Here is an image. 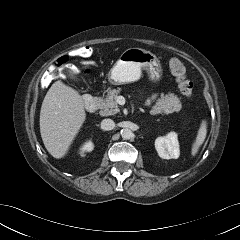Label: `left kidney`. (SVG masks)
<instances>
[{"mask_svg":"<svg viewBox=\"0 0 240 240\" xmlns=\"http://www.w3.org/2000/svg\"><path fill=\"white\" fill-rule=\"evenodd\" d=\"M155 148L158 155L163 159H177L180 154L177 134L170 132L166 136L155 140Z\"/></svg>","mask_w":240,"mask_h":240,"instance_id":"1","label":"left kidney"}]
</instances>
